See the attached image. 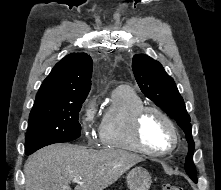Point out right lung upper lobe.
Listing matches in <instances>:
<instances>
[{
    "label": "right lung upper lobe",
    "mask_w": 221,
    "mask_h": 190,
    "mask_svg": "<svg viewBox=\"0 0 221 190\" xmlns=\"http://www.w3.org/2000/svg\"><path fill=\"white\" fill-rule=\"evenodd\" d=\"M92 65L86 53L65 56L43 81L34 106L84 101L91 88Z\"/></svg>",
    "instance_id": "right-lung-upper-lobe-1"
}]
</instances>
